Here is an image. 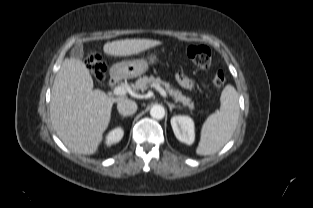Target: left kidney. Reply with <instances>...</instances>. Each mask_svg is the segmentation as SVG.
<instances>
[{"label": "left kidney", "instance_id": "left-kidney-1", "mask_svg": "<svg viewBox=\"0 0 313 208\" xmlns=\"http://www.w3.org/2000/svg\"><path fill=\"white\" fill-rule=\"evenodd\" d=\"M171 126L176 138L187 145L195 139L194 121L185 115H176L171 118Z\"/></svg>", "mask_w": 313, "mask_h": 208}]
</instances>
